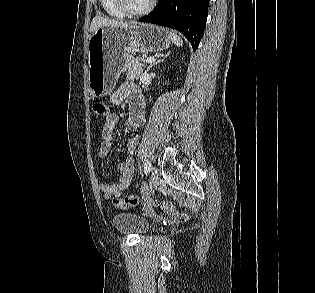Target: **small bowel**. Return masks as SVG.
Wrapping results in <instances>:
<instances>
[{
  "instance_id": "obj_1",
  "label": "small bowel",
  "mask_w": 315,
  "mask_h": 293,
  "mask_svg": "<svg viewBox=\"0 0 315 293\" xmlns=\"http://www.w3.org/2000/svg\"><path fill=\"white\" fill-rule=\"evenodd\" d=\"M126 99H129V115L124 124V131L129 133L136 131L144 124L145 103L139 90L129 81L123 82L111 95V102L114 104H120ZM118 121L119 117L116 114H108L105 117L98 150V155L101 159H104L110 152ZM137 143L138 139L136 136L129 138L126 143L128 155L118 166L119 180L114 184L99 183L98 187L104 198L109 199L121 196L131 184L134 175L133 154Z\"/></svg>"
}]
</instances>
